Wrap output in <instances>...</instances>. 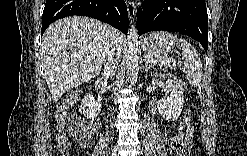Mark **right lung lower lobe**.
Returning a JSON list of instances; mask_svg holds the SVG:
<instances>
[{
  "mask_svg": "<svg viewBox=\"0 0 247 156\" xmlns=\"http://www.w3.org/2000/svg\"><path fill=\"white\" fill-rule=\"evenodd\" d=\"M72 15L96 18L124 34L128 32V12L124 0H47L41 35L52 22Z\"/></svg>",
  "mask_w": 247,
  "mask_h": 156,
  "instance_id": "obj_1",
  "label": "right lung lower lobe"
}]
</instances>
